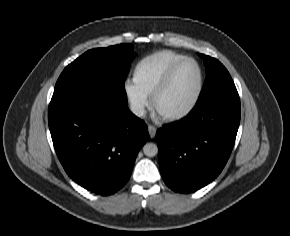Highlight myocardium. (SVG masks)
I'll return each instance as SVG.
<instances>
[{
  "label": "myocardium",
  "instance_id": "obj_1",
  "mask_svg": "<svg viewBox=\"0 0 290 236\" xmlns=\"http://www.w3.org/2000/svg\"><path fill=\"white\" fill-rule=\"evenodd\" d=\"M187 62L192 63L197 70V87L191 101L188 103L186 107H184L183 109L179 111L171 112V113L159 112L156 108L157 97L169 86L176 70L181 65ZM203 84H204V76H203L202 67L199 64V62L192 57H184L171 66V68L167 71V73L165 74L163 79L160 81V83L153 89L150 96L151 108L161 119L165 121H174V120L181 119L187 116L196 106L203 90Z\"/></svg>",
  "mask_w": 290,
  "mask_h": 236
}]
</instances>
